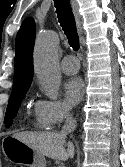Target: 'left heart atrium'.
<instances>
[{
  "instance_id": "left-heart-atrium-1",
  "label": "left heart atrium",
  "mask_w": 125,
  "mask_h": 167,
  "mask_svg": "<svg viewBox=\"0 0 125 167\" xmlns=\"http://www.w3.org/2000/svg\"><path fill=\"white\" fill-rule=\"evenodd\" d=\"M64 94L69 105L79 103L84 94V84L79 77H71L64 84Z\"/></svg>"
}]
</instances>
